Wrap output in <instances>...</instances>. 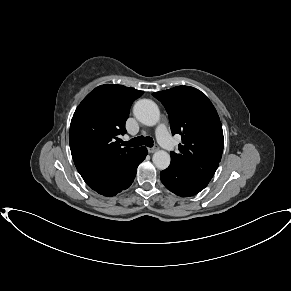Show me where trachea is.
Segmentation results:
<instances>
[{
    "mask_svg": "<svg viewBox=\"0 0 291 291\" xmlns=\"http://www.w3.org/2000/svg\"><path fill=\"white\" fill-rule=\"evenodd\" d=\"M122 145L127 146V147H137L145 144L148 147L153 146V139L149 136L144 137V136H139L134 139H131L130 141H121Z\"/></svg>",
    "mask_w": 291,
    "mask_h": 291,
    "instance_id": "3493384b",
    "label": "trachea"
}]
</instances>
